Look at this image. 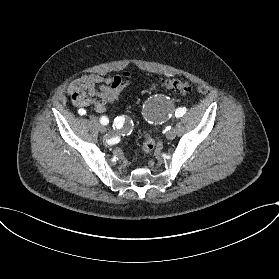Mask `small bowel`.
Returning a JSON list of instances; mask_svg holds the SVG:
<instances>
[{"instance_id":"obj_1","label":"small bowel","mask_w":279,"mask_h":279,"mask_svg":"<svg viewBox=\"0 0 279 279\" xmlns=\"http://www.w3.org/2000/svg\"><path fill=\"white\" fill-rule=\"evenodd\" d=\"M129 83L128 72L117 76L83 74L70 83L67 92L75 106H93L97 113H104L110 104L120 99Z\"/></svg>"}]
</instances>
